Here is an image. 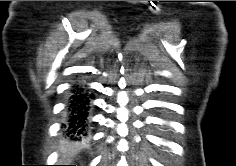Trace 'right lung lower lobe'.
Masks as SVG:
<instances>
[{"label":"right lung lower lobe","instance_id":"98d812e1","mask_svg":"<svg viewBox=\"0 0 236 166\" xmlns=\"http://www.w3.org/2000/svg\"><path fill=\"white\" fill-rule=\"evenodd\" d=\"M86 86L75 83L70 89L67 102V120L64 124L65 132L74 139H81L87 136L89 126L90 101L92 93L88 92Z\"/></svg>","mask_w":236,"mask_h":166}]
</instances>
